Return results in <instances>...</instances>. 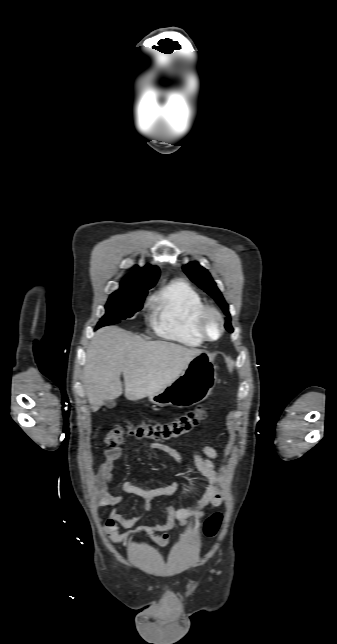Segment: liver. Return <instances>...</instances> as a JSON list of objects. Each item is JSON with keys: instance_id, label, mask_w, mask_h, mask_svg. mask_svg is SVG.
I'll return each mask as SVG.
<instances>
[{"instance_id": "6515ba94", "label": "liver", "mask_w": 337, "mask_h": 644, "mask_svg": "<svg viewBox=\"0 0 337 644\" xmlns=\"http://www.w3.org/2000/svg\"><path fill=\"white\" fill-rule=\"evenodd\" d=\"M202 351L166 341H146L116 326L98 330L86 351L83 381L93 412L122 394L136 401L170 385Z\"/></svg>"}]
</instances>
